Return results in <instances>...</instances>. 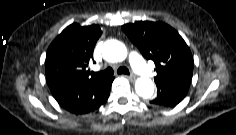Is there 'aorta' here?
I'll use <instances>...</instances> for the list:
<instances>
[{
  "instance_id": "obj_1",
  "label": "aorta",
  "mask_w": 236,
  "mask_h": 135,
  "mask_svg": "<svg viewBox=\"0 0 236 135\" xmlns=\"http://www.w3.org/2000/svg\"><path fill=\"white\" fill-rule=\"evenodd\" d=\"M102 54L109 62H121L127 57V48L120 41L109 40L105 42ZM135 90L140 97L148 99L154 94V83L150 78L140 77L136 80Z\"/></svg>"
}]
</instances>
